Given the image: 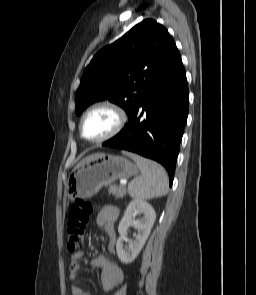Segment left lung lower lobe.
Returning <instances> with one entry per match:
<instances>
[{
    "instance_id": "0a47b994",
    "label": "left lung lower lobe",
    "mask_w": 256,
    "mask_h": 295,
    "mask_svg": "<svg viewBox=\"0 0 256 295\" xmlns=\"http://www.w3.org/2000/svg\"><path fill=\"white\" fill-rule=\"evenodd\" d=\"M188 104L186 73L180 61L145 95L128 124L102 145L131 151L161 163L168 171L171 186ZM144 111L146 119L141 121Z\"/></svg>"
}]
</instances>
